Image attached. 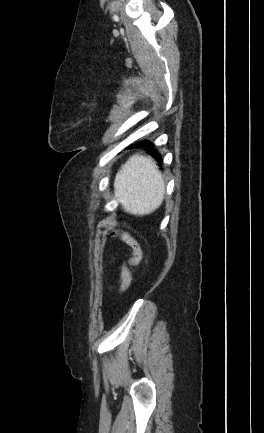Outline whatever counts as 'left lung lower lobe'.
<instances>
[{
  "label": "left lung lower lobe",
  "mask_w": 264,
  "mask_h": 433,
  "mask_svg": "<svg viewBox=\"0 0 264 433\" xmlns=\"http://www.w3.org/2000/svg\"><path fill=\"white\" fill-rule=\"evenodd\" d=\"M135 146H142L146 148L152 157H154L158 162H162L161 155L154 149V145L150 141H140Z\"/></svg>",
  "instance_id": "0a47b994"
}]
</instances>
